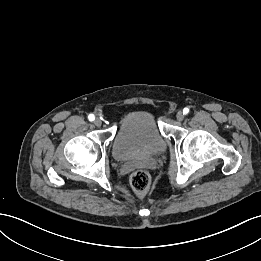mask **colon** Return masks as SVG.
<instances>
[{
  "mask_svg": "<svg viewBox=\"0 0 261 261\" xmlns=\"http://www.w3.org/2000/svg\"><path fill=\"white\" fill-rule=\"evenodd\" d=\"M131 187L138 195L145 194L150 186V175L145 170H136L130 177Z\"/></svg>",
  "mask_w": 261,
  "mask_h": 261,
  "instance_id": "1",
  "label": "colon"
}]
</instances>
